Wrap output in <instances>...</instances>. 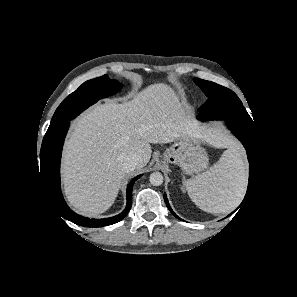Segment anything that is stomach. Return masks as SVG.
<instances>
[{
	"label": "stomach",
	"mask_w": 297,
	"mask_h": 297,
	"mask_svg": "<svg viewBox=\"0 0 297 297\" xmlns=\"http://www.w3.org/2000/svg\"><path fill=\"white\" fill-rule=\"evenodd\" d=\"M166 162L177 164L184 173L192 175L208 167V154L200 141L195 138H182L163 153Z\"/></svg>",
	"instance_id": "obj_1"
}]
</instances>
